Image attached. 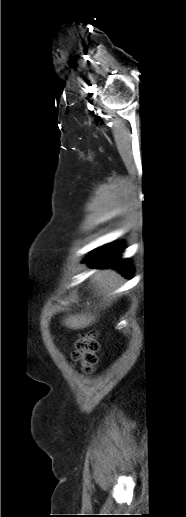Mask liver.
Segmentation results:
<instances>
[{"label": "liver", "mask_w": 186, "mask_h": 517, "mask_svg": "<svg viewBox=\"0 0 186 517\" xmlns=\"http://www.w3.org/2000/svg\"><path fill=\"white\" fill-rule=\"evenodd\" d=\"M94 288L98 293L108 295L106 298L107 303L104 305H110L115 296H110V293L118 288L121 284V276L114 270L104 269L96 272L92 278ZM97 318V314L90 312L80 313L75 315H69L63 321V324L70 329H83L92 325Z\"/></svg>", "instance_id": "obj_1"}]
</instances>
